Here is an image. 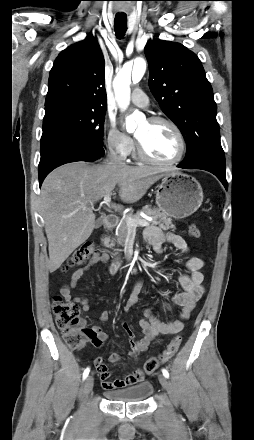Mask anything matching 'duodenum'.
Masks as SVG:
<instances>
[{"label": "duodenum", "mask_w": 254, "mask_h": 440, "mask_svg": "<svg viewBox=\"0 0 254 440\" xmlns=\"http://www.w3.org/2000/svg\"><path fill=\"white\" fill-rule=\"evenodd\" d=\"M118 224V218L115 215H107L104 223H103V230L104 231H110L114 229Z\"/></svg>", "instance_id": "obj_1"}]
</instances>
